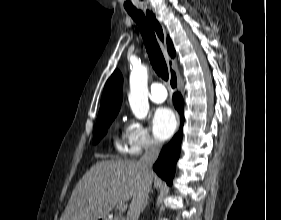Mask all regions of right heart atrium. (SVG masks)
Masks as SVG:
<instances>
[{
  "label": "right heart atrium",
  "mask_w": 281,
  "mask_h": 220,
  "mask_svg": "<svg viewBox=\"0 0 281 220\" xmlns=\"http://www.w3.org/2000/svg\"><path fill=\"white\" fill-rule=\"evenodd\" d=\"M126 139L133 153L153 150L160 146L150 130L140 122L132 121L126 127Z\"/></svg>",
  "instance_id": "right-heart-atrium-1"
}]
</instances>
